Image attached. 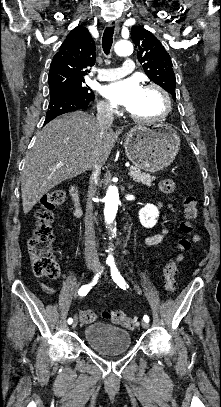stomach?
<instances>
[{
	"label": "stomach",
	"mask_w": 221,
	"mask_h": 407,
	"mask_svg": "<svg viewBox=\"0 0 221 407\" xmlns=\"http://www.w3.org/2000/svg\"><path fill=\"white\" fill-rule=\"evenodd\" d=\"M180 147V137L168 124L136 125L125 137L129 160L139 169L155 173L168 167Z\"/></svg>",
	"instance_id": "0dacf381"
}]
</instances>
